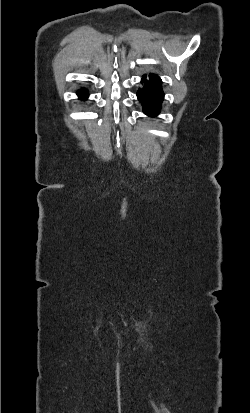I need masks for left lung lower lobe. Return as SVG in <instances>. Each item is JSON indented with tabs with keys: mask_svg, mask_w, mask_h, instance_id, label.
<instances>
[{
	"mask_svg": "<svg viewBox=\"0 0 250 413\" xmlns=\"http://www.w3.org/2000/svg\"><path fill=\"white\" fill-rule=\"evenodd\" d=\"M141 83L143 87L138 90L137 97L142 103L143 112L149 116H156L160 112L164 97L161 79L155 74H145Z\"/></svg>",
	"mask_w": 250,
	"mask_h": 413,
	"instance_id": "left-lung-lower-lobe-1",
	"label": "left lung lower lobe"
}]
</instances>
